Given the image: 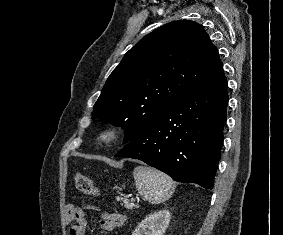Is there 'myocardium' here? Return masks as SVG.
I'll list each match as a JSON object with an SVG mask.
<instances>
[{
    "mask_svg": "<svg viewBox=\"0 0 283 235\" xmlns=\"http://www.w3.org/2000/svg\"><path fill=\"white\" fill-rule=\"evenodd\" d=\"M120 135L121 128L117 124H110L101 129L97 139L101 145L109 146L115 143Z\"/></svg>",
    "mask_w": 283,
    "mask_h": 235,
    "instance_id": "f54148a6",
    "label": "myocardium"
}]
</instances>
